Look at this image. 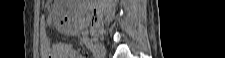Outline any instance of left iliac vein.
<instances>
[{"mask_svg":"<svg viewBox=\"0 0 225 58\" xmlns=\"http://www.w3.org/2000/svg\"><path fill=\"white\" fill-rule=\"evenodd\" d=\"M94 50L97 53L99 57H104L106 54V48L102 43H95L94 44Z\"/></svg>","mask_w":225,"mask_h":58,"instance_id":"obj_1","label":"left iliac vein"}]
</instances>
